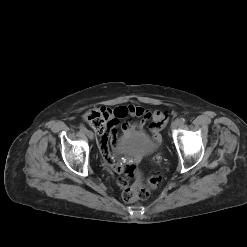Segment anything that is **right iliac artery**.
Segmentation results:
<instances>
[{
	"label": "right iliac artery",
	"mask_w": 247,
	"mask_h": 247,
	"mask_svg": "<svg viewBox=\"0 0 247 247\" xmlns=\"http://www.w3.org/2000/svg\"><path fill=\"white\" fill-rule=\"evenodd\" d=\"M80 131L86 133L87 129L84 126H80Z\"/></svg>",
	"instance_id": "82829eb1"
}]
</instances>
